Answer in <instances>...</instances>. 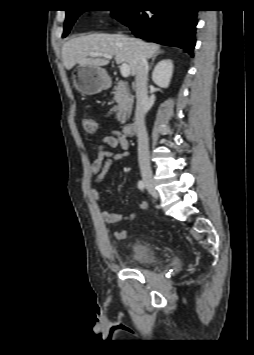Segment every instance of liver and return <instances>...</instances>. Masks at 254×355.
Returning <instances> with one entry per match:
<instances>
[{"instance_id": "obj_1", "label": "liver", "mask_w": 254, "mask_h": 355, "mask_svg": "<svg viewBox=\"0 0 254 355\" xmlns=\"http://www.w3.org/2000/svg\"><path fill=\"white\" fill-rule=\"evenodd\" d=\"M160 46L140 39L129 38L120 34L96 33L71 39L62 47L63 65L67 70L76 64L105 66L109 60L105 57H91L89 53L99 52L115 56L117 64L127 63L131 74H136L138 59H146L159 52Z\"/></svg>"}]
</instances>
